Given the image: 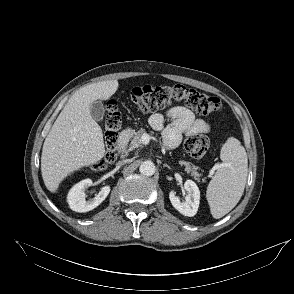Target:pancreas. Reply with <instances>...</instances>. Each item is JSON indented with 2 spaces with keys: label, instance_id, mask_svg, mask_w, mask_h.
<instances>
[{
  "label": "pancreas",
  "instance_id": "pancreas-1",
  "mask_svg": "<svg viewBox=\"0 0 294 294\" xmlns=\"http://www.w3.org/2000/svg\"><path fill=\"white\" fill-rule=\"evenodd\" d=\"M146 134L144 129H140L138 131H131L129 134V139L131 140L129 144V149L133 150L135 148L142 147V136ZM179 164L185 167V171L189 173L196 181H200L201 173L197 172L198 167L194 166L190 162L180 161Z\"/></svg>",
  "mask_w": 294,
  "mask_h": 294
}]
</instances>
